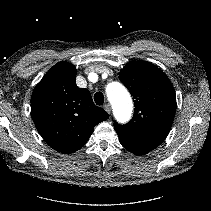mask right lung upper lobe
<instances>
[{
  "label": "right lung upper lobe",
  "instance_id": "right-lung-upper-lobe-1",
  "mask_svg": "<svg viewBox=\"0 0 211 211\" xmlns=\"http://www.w3.org/2000/svg\"><path fill=\"white\" fill-rule=\"evenodd\" d=\"M31 114L42 138L65 154L83 147L94 127L109 118L96 107L87 89L76 85V68L68 62L53 66L35 87Z\"/></svg>",
  "mask_w": 211,
  "mask_h": 211
}]
</instances>
